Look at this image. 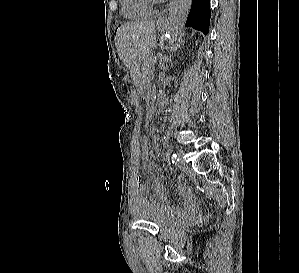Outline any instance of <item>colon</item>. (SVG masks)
I'll return each mask as SVG.
<instances>
[{"label": "colon", "instance_id": "1", "mask_svg": "<svg viewBox=\"0 0 299 273\" xmlns=\"http://www.w3.org/2000/svg\"><path fill=\"white\" fill-rule=\"evenodd\" d=\"M143 148H149V138L147 136H144L142 138V149ZM206 216L202 215V214H199L198 215V220L199 221H205L206 220Z\"/></svg>", "mask_w": 299, "mask_h": 273}]
</instances>
